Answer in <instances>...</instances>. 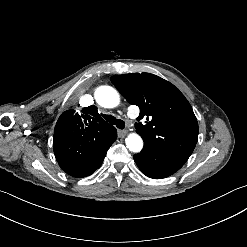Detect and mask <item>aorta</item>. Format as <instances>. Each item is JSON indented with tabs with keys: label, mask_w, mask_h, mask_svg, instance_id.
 <instances>
[{
	"label": "aorta",
	"mask_w": 247,
	"mask_h": 247,
	"mask_svg": "<svg viewBox=\"0 0 247 247\" xmlns=\"http://www.w3.org/2000/svg\"><path fill=\"white\" fill-rule=\"evenodd\" d=\"M96 102L104 108H114L120 103L117 90L110 86H100L95 91ZM127 148L132 152H140L143 148V140L137 133H130L126 140Z\"/></svg>",
	"instance_id": "obj_1"
}]
</instances>
